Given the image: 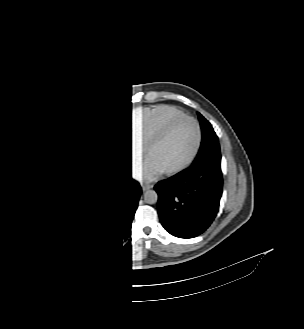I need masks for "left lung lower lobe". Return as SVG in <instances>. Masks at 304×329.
<instances>
[{"label":"left lung lower lobe","mask_w":304,"mask_h":329,"mask_svg":"<svg viewBox=\"0 0 304 329\" xmlns=\"http://www.w3.org/2000/svg\"><path fill=\"white\" fill-rule=\"evenodd\" d=\"M219 144L212 146L176 178L160 181L158 214L163 227L179 238L203 233L214 220L222 195Z\"/></svg>","instance_id":"1"}]
</instances>
